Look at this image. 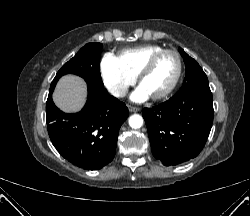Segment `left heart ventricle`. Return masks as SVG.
Here are the masks:
<instances>
[{
  "label": "left heart ventricle",
  "mask_w": 250,
  "mask_h": 216,
  "mask_svg": "<svg viewBox=\"0 0 250 216\" xmlns=\"http://www.w3.org/2000/svg\"><path fill=\"white\" fill-rule=\"evenodd\" d=\"M177 71L174 55L164 54L155 63L150 73L142 80L141 86L152 97L162 93L171 84Z\"/></svg>",
  "instance_id": "1"
}]
</instances>
